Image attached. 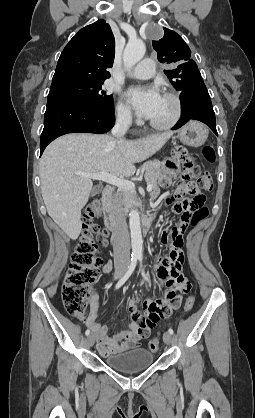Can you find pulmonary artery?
I'll use <instances>...</instances> for the list:
<instances>
[{
	"label": "pulmonary artery",
	"instance_id": "obj_1",
	"mask_svg": "<svg viewBox=\"0 0 255 418\" xmlns=\"http://www.w3.org/2000/svg\"><path fill=\"white\" fill-rule=\"evenodd\" d=\"M155 74V63L150 58L143 59L129 73V76L136 79H149Z\"/></svg>",
	"mask_w": 255,
	"mask_h": 418
}]
</instances>
